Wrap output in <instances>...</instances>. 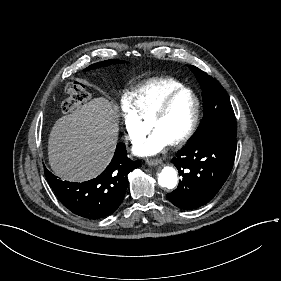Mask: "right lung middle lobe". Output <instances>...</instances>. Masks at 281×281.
<instances>
[{
	"instance_id": "dd1d6c3e",
	"label": "right lung middle lobe",
	"mask_w": 281,
	"mask_h": 281,
	"mask_svg": "<svg viewBox=\"0 0 281 281\" xmlns=\"http://www.w3.org/2000/svg\"><path fill=\"white\" fill-rule=\"evenodd\" d=\"M117 62H123V61H119V60H116V59H114V60H106V61H103V62L92 64L88 68H86L85 70L95 69V68H99V67H102V66H107V65H110L112 63H117Z\"/></svg>"
}]
</instances>
